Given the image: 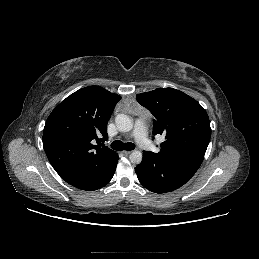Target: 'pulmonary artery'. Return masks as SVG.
<instances>
[{
  "label": "pulmonary artery",
  "mask_w": 259,
  "mask_h": 259,
  "mask_svg": "<svg viewBox=\"0 0 259 259\" xmlns=\"http://www.w3.org/2000/svg\"><path fill=\"white\" fill-rule=\"evenodd\" d=\"M132 136L135 138L137 143L145 149H150L152 147L148 137L147 130L144 122L142 120H137L132 132Z\"/></svg>",
  "instance_id": "e3ab8cb5"
}]
</instances>
